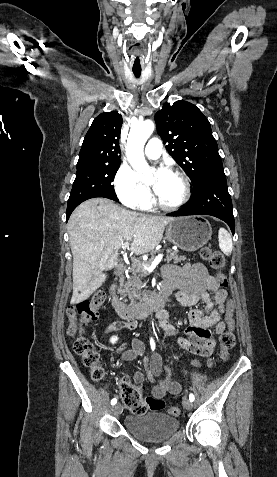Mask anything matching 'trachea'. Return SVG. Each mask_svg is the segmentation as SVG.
Instances as JSON below:
<instances>
[{"mask_svg":"<svg viewBox=\"0 0 277 477\" xmlns=\"http://www.w3.org/2000/svg\"><path fill=\"white\" fill-rule=\"evenodd\" d=\"M136 78H139L141 75V71H133Z\"/></svg>","mask_w":277,"mask_h":477,"instance_id":"3493384b","label":"trachea"}]
</instances>
